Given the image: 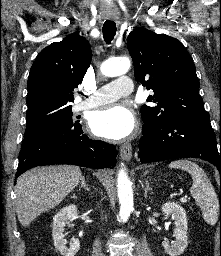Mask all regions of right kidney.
<instances>
[{"label": "right kidney", "instance_id": "1", "mask_svg": "<svg viewBox=\"0 0 221 256\" xmlns=\"http://www.w3.org/2000/svg\"><path fill=\"white\" fill-rule=\"evenodd\" d=\"M78 215L77 207L75 205H69L61 209L53 217V230L52 237L55 248L63 256H75L80 249V243L78 239H75L70 247L66 246V240L64 239V227L66 224Z\"/></svg>", "mask_w": 221, "mask_h": 256}]
</instances>
